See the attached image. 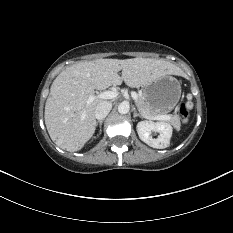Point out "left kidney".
Returning <instances> with one entry per match:
<instances>
[{"mask_svg": "<svg viewBox=\"0 0 233 233\" xmlns=\"http://www.w3.org/2000/svg\"><path fill=\"white\" fill-rule=\"evenodd\" d=\"M172 131V126L164 122L140 121L137 124L139 138L150 147L157 149L169 146ZM152 132H159L160 135L154 139L151 136Z\"/></svg>", "mask_w": 233, "mask_h": 233, "instance_id": "left-kidney-1", "label": "left kidney"}]
</instances>
